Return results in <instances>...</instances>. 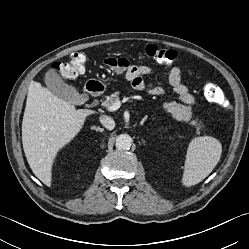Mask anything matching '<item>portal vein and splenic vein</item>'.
<instances>
[{"mask_svg":"<svg viewBox=\"0 0 249 249\" xmlns=\"http://www.w3.org/2000/svg\"><path fill=\"white\" fill-rule=\"evenodd\" d=\"M121 106V102L118 100L116 102L113 103V105L111 107H109V111H116L120 108Z\"/></svg>","mask_w":249,"mask_h":249,"instance_id":"portal-vein-and-splenic-vein-1","label":"portal vein and splenic vein"}]
</instances>
